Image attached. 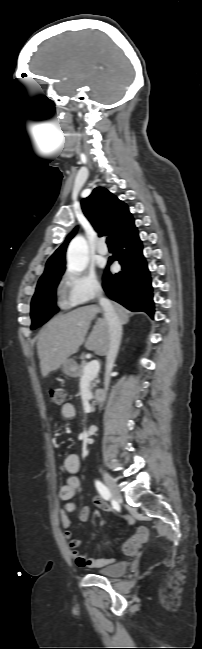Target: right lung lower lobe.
<instances>
[{"label":"right lung lower lobe","instance_id":"1","mask_svg":"<svg viewBox=\"0 0 202 649\" xmlns=\"http://www.w3.org/2000/svg\"><path fill=\"white\" fill-rule=\"evenodd\" d=\"M114 241L115 253L109 258L108 264L117 260L122 266V271L117 274L106 271L103 288L107 296L131 311H144L153 318L151 277L137 229Z\"/></svg>","mask_w":202,"mask_h":649}]
</instances>
